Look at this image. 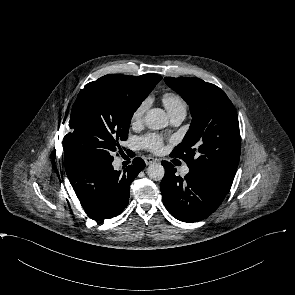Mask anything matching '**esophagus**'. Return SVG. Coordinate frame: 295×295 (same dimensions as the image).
<instances>
[{"instance_id":"esophagus-1","label":"esophagus","mask_w":295,"mask_h":295,"mask_svg":"<svg viewBox=\"0 0 295 295\" xmlns=\"http://www.w3.org/2000/svg\"><path fill=\"white\" fill-rule=\"evenodd\" d=\"M146 165H150V164H153L155 162H157L158 160L156 158H153V157H146L144 159Z\"/></svg>"}]
</instances>
